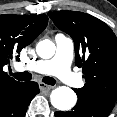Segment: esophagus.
<instances>
[{
	"label": "esophagus",
	"instance_id": "34e87169",
	"mask_svg": "<svg viewBox=\"0 0 117 117\" xmlns=\"http://www.w3.org/2000/svg\"><path fill=\"white\" fill-rule=\"evenodd\" d=\"M39 88L41 91H49V90L53 89V86H50V85H47L45 83L40 82Z\"/></svg>",
	"mask_w": 117,
	"mask_h": 117
}]
</instances>
